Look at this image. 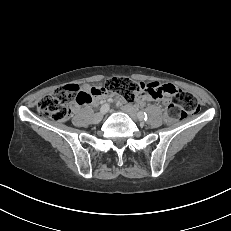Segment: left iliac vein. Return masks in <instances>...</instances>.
Instances as JSON below:
<instances>
[{
  "instance_id": "left-iliac-vein-1",
  "label": "left iliac vein",
  "mask_w": 231,
  "mask_h": 231,
  "mask_svg": "<svg viewBox=\"0 0 231 231\" xmlns=\"http://www.w3.org/2000/svg\"><path fill=\"white\" fill-rule=\"evenodd\" d=\"M122 110L125 113H127L132 119H134V120L140 119L138 117V113H137L136 109L132 105H125V106L122 107Z\"/></svg>"
}]
</instances>
